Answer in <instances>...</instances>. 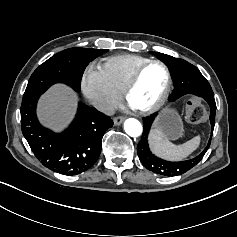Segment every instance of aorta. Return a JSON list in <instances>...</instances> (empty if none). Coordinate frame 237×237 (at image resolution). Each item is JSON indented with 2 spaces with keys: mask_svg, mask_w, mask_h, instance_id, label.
I'll return each instance as SVG.
<instances>
[{
  "mask_svg": "<svg viewBox=\"0 0 237 237\" xmlns=\"http://www.w3.org/2000/svg\"><path fill=\"white\" fill-rule=\"evenodd\" d=\"M124 130L131 137H138L142 134V125L135 118H128L124 122Z\"/></svg>",
  "mask_w": 237,
  "mask_h": 237,
  "instance_id": "1",
  "label": "aorta"
}]
</instances>
